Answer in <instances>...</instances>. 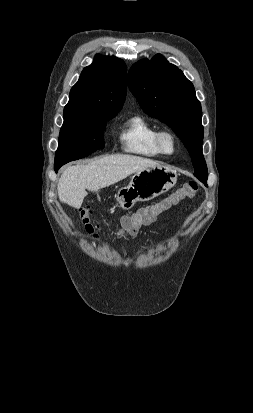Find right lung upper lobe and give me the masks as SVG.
<instances>
[{"label": "right lung upper lobe", "instance_id": "1", "mask_svg": "<svg viewBox=\"0 0 253 413\" xmlns=\"http://www.w3.org/2000/svg\"><path fill=\"white\" fill-rule=\"evenodd\" d=\"M126 97V65L114 56L97 54L72 87L64 108V120L117 114Z\"/></svg>", "mask_w": 253, "mask_h": 413}]
</instances>
